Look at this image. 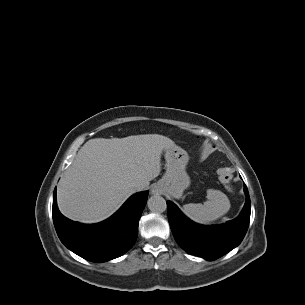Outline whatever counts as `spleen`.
<instances>
[{"label": "spleen", "mask_w": 305, "mask_h": 305, "mask_svg": "<svg viewBox=\"0 0 305 305\" xmlns=\"http://www.w3.org/2000/svg\"><path fill=\"white\" fill-rule=\"evenodd\" d=\"M207 198L208 200L204 204L189 203L184 205L182 207L183 213L196 223L209 224L228 212L230 202L223 192L209 189L207 190Z\"/></svg>", "instance_id": "3e777b00"}]
</instances>
